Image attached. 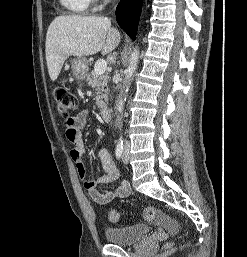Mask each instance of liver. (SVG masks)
<instances>
[{
    "instance_id": "obj_1",
    "label": "liver",
    "mask_w": 247,
    "mask_h": 257,
    "mask_svg": "<svg viewBox=\"0 0 247 257\" xmlns=\"http://www.w3.org/2000/svg\"><path fill=\"white\" fill-rule=\"evenodd\" d=\"M121 35L111 27L107 17L61 15L48 27L46 61L49 76L55 81L69 56L83 58L101 51L112 52L120 43Z\"/></svg>"
}]
</instances>
